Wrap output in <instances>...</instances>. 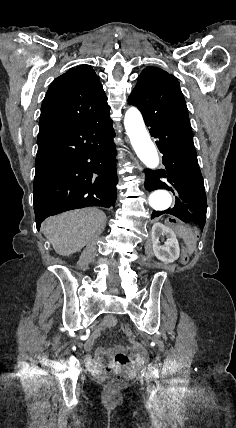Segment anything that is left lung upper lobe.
Returning <instances> with one entry per match:
<instances>
[{
	"instance_id": "obj_1",
	"label": "left lung upper lobe",
	"mask_w": 236,
	"mask_h": 428,
	"mask_svg": "<svg viewBox=\"0 0 236 428\" xmlns=\"http://www.w3.org/2000/svg\"><path fill=\"white\" fill-rule=\"evenodd\" d=\"M128 103L135 105L144 119L167 120L192 131L179 82L160 68L148 66L143 69Z\"/></svg>"
}]
</instances>
